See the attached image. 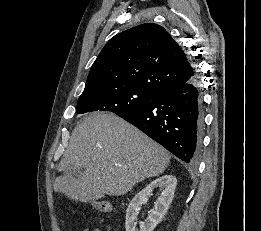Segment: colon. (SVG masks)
Returning a JSON list of instances; mask_svg holds the SVG:
<instances>
[{
  "label": "colon",
  "mask_w": 261,
  "mask_h": 231,
  "mask_svg": "<svg viewBox=\"0 0 261 231\" xmlns=\"http://www.w3.org/2000/svg\"><path fill=\"white\" fill-rule=\"evenodd\" d=\"M91 206L94 210L105 214H109L114 210L113 204L106 201H93L91 202Z\"/></svg>",
  "instance_id": "obj_1"
}]
</instances>
